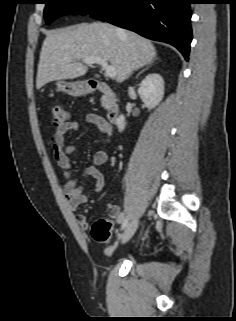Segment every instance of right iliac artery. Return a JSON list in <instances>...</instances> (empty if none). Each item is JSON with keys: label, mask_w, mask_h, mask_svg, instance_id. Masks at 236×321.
Masks as SVG:
<instances>
[{"label": "right iliac artery", "mask_w": 236, "mask_h": 321, "mask_svg": "<svg viewBox=\"0 0 236 321\" xmlns=\"http://www.w3.org/2000/svg\"><path fill=\"white\" fill-rule=\"evenodd\" d=\"M127 224H128V219L127 218L123 219L121 228L124 229L127 226Z\"/></svg>", "instance_id": "1"}]
</instances>
